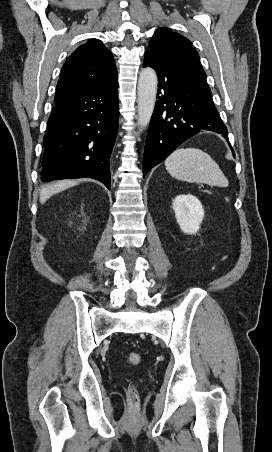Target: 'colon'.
Segmentation results:
<instances>
[{
  "label": "colon",
  "instance_id": "5ec220e1",
  "mask_svg": "<svg viewBox=\"0 0 272 452\" xmlns=\"http://www.w3.org/2000/svg\"><path fill=\"white\" fill-rule=\"evenodd\" d=\"M142 360V356L138 352H131L127 356V363L130 365H138ZM127 397L130 404L135 407L139 402V394L136 386L132 385L128 388Z\"/></svg>",
  "mask_w": 272,
  "mask_h": 452
}]
</instances>
